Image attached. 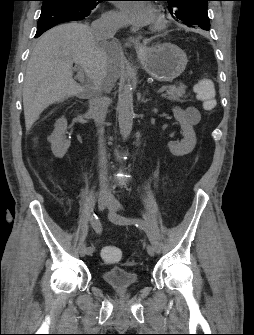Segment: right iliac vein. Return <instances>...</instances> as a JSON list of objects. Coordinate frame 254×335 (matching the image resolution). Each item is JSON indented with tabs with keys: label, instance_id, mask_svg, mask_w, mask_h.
<instances>
[{
	"label": "right iliac vein",
	"instance_id": "right-iliac-vein-1",
	"mask_svg": "<svg viewBox=\"0 0 254 335\" xmlns=\"http://www.w3.org/2000/svg\"><path fill=\"white\" fill-rule=\"evenodd\" d=\"M98 208L100 211H103L109 204V199L107 195L100 194L97 200ZM79 255L80 257H85L87 255V245L86 243H82L79 247Z\"/></svg>",
	"mask_w": 254,
	"mask_h": 335
}]
</instances>
